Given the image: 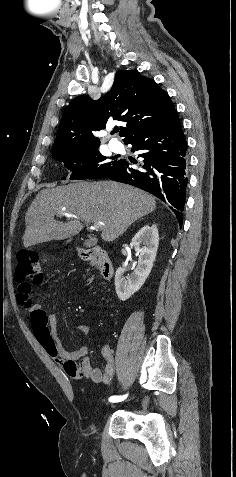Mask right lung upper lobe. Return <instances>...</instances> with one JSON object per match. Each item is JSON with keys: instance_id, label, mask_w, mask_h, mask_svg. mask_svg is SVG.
Masks as SVG:
<instances>
[{"instance_id": "obj_1", "label": "right lung upper lobe", "mask_w": 236, "mask_h": 477, "mask_svg": "<svg viewBox=\"0 0 236 477\" xmlns=\"http://www.w3.org/2000/svg\"><path fill=\"white\" fill-rule=\"evenodd\" d=\"M167 93L154 80L136 70L116 73L111 90L94 101L88 95L73 99L65 108L52 153L72 152L100 145L94 136L109 120L125 122L124 142L132 136L165 123L175 112Z\"/></svg>"}]
</instances>
